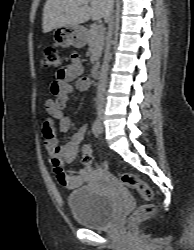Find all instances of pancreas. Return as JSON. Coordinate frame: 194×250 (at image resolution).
I'll list each match as a JSON object with an SVG mask.
<instances>
[{
    "mask_svg": "<svg viewBox=\"0 0 194 250\" xmlns=\"http://www.w3.org/2000/svg\"><path fill=\"white\" fill-rule=\"evenodd\" d=\"M85 36L89 45V52L91 53V63H95L99 60L102 53L105 28H98L96 25H91Z\"/></svg>",
    "mask_w": 194,
    "mask_h": 250,
    "instance_id": "cf45deb5",
    "label": "pancreas"
}]
</instances>
